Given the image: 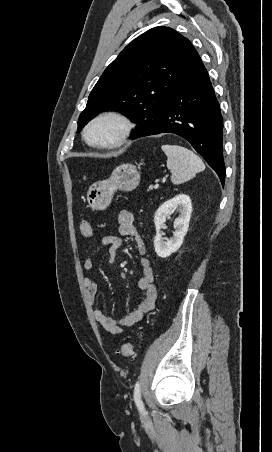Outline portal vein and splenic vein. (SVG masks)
Returning a JSON list of instances; mask_svg holds the SVG:
<instances>
[{"label": "portal vein and splenic vein", "instance_id": "18ae733b", "mask_svg": "<svg viewBox=\"0 0 272 452\" xmlns=\"http://www.w3.org/2000/svg\"><path fill=\"white\" fill-rule=\"evenodd\" d=\"M165 180V178L163 179V181ZM159 187V184L158 183H156L155 185H154V188L155 189H157Z\"/></svg>", "mask_w": 272, "mask_h": 452}]
</instances>
